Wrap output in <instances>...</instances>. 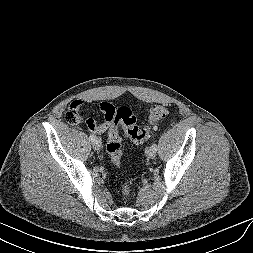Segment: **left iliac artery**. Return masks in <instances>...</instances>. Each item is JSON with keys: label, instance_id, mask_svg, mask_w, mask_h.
<instances>
[{"label": "left iliac artery", "instance_id": "44dca946", "mask_svg": "<svg viewBox=\"0 0 253 253\" xmlns=\"http://www.w3.org/2000/svg\"><path fill=\"white\" fill-rule=\"evenodd\" d=\"M151 148L157 151V148H158V147H157L156 144H152Z\"/></svg>", "mask_w": 253, "mask_h": 253}]
</instances>
